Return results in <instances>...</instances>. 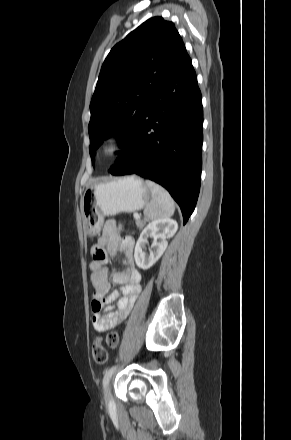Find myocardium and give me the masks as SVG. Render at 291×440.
<instances>
[{
	"mask_svg": "<svg viewBox=\"0 0 291 440\" xmlns=\"http://www.w3.org/2000/svg\"><path fill=\"white\" fill-rule=\"evenodd\" d=\"M124 148V140L122 135L118 133L110 134L106 137L101 146L100 153L104 159H112L118 156Z\"/></svg>",
	"mask_w": 291,
	"mask_h": 440,
	"instance_id": "obj_1",
	"label": "myocardium"
}]
</instances>
